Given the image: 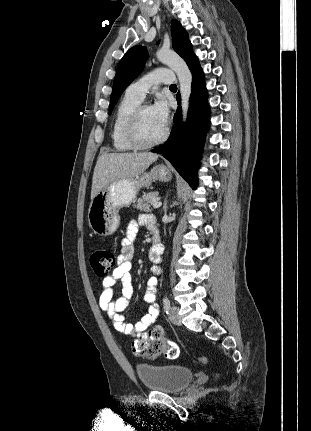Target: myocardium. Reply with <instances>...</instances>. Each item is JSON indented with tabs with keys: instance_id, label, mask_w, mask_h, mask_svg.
Instances as JSON below:
<instances>
[{
	"instance_id": "f54148a6",
	"label": "myocardium",
	"mask_w": 311,
	"mask_h": 431,
	"mask_svg": "<svg viewBox=\"0 0 311 431\" xmlns=\"http://www.w3.org/2000/svg\"><path fill=\"white\" fill-rule=\"evenodd\" d=\"M147 105L140 103L131 113L126 125V133L129 141L138 148H150L161 144L168 135V129L165 128L162 135L155 140H146L142 133V119L144 110Z\"/></svg>"
}]
</instances>
